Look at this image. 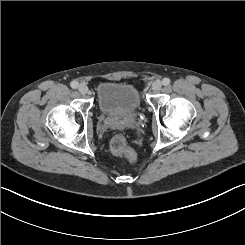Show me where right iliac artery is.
Here are the masks:
<instances>
[{
  "instance_id": "1",
  "label": "right iliac artery",
  "mask_w": 245,
  "mask_h": 245,
  "mask_svg": "<svg viewBox=\"0 0 245 245\" xmlns=\"http://www.w3.org/2000/svg\"><path fill=\"white\" fill-rule=\"evenodd\" d=\"M70 85H71V87H72L73 89H76V88H78L79 83H78L77 81H72Z\"/></svg>"
}]
</instances>
